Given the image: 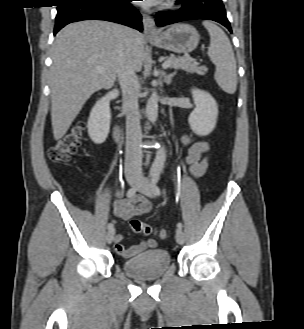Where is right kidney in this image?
Here are the masks:
<instances>
[{"label":"right kidney","mask_w":304,"mask_h":329,"mask_svg":"<svg viewBox=\"0 0 304 329\" xmlns=\"http://www.w3.org/2000/svg\"><path fill=\"white\" fill-rule=\"evenodd\" d=\"M119 92L114 89L99 99L91 110L88 119V134L91 140L96 144L103 143L110 129V100L118 97Z\"/></svg>","instance_id":"obj_1"}]
</instances>
